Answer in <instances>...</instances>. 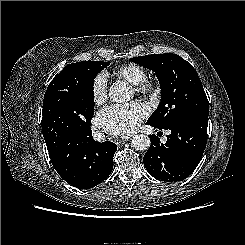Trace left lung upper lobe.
<instances>
[{
    "label": "left lung upper lobe",
    "instance_id": "left-lung-upper-lobe-1",
    "mask_svg": "<svg viewBox=\"0 0 245 245\" xmlns=\"http://www.w3.org/2000/svg\"><path fill=\"white\" fill-rule=\"evenodd\" d=\"M156 73L161 102L148 119L162 129L175 126L193 116L208 117V99L194 67L173 53L131 58Z\"/></svg>",
    "mask_w": 245,
    "mask_h": 245
}]
</instances>
